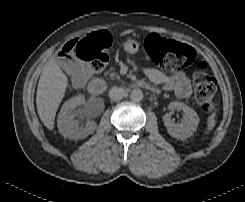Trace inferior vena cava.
<instances>
[{"mask_svg": "<svg viewBox=\"0 0 245 202\" xmlns=\"http://www.w3.org/2000/svg\"><path fill=\"white\" fill-rule=\"evenodd\" d=\"M125 95H126V92L123 88L113 87L109 91L110 99L115 100V101L121 100L123 97H125Z\"/></svg>", "mask_w": 245, "mask_h": 202, "instance_id": "obj_1", "label": "inferior vena cava"}]
</instances>
